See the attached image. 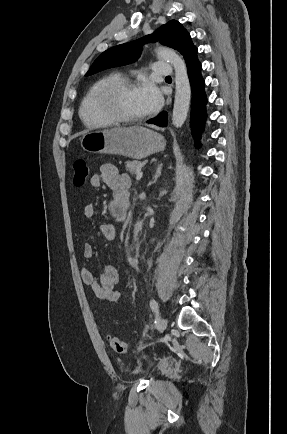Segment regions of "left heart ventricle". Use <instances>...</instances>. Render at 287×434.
Masks as SVG:
<instances>
[{"instance_id":"1","label":"left heart ventricle","mask_w":287,"mask_h":434,"mask_svg":"<svg viewBox=\"0 0 287 434\" xmlns=\"http://www.w3.org/2000/svg\"><path fill=\"white\" fill-rule=\"evenodd\" d=\"M119 111L130 117L146 114V110L138 94V88L128 89L120 94L118 98Z\"/></svg>"}]
</instances>
